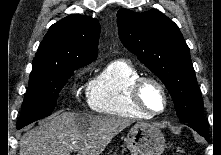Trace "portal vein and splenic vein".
<instances>
[{
  "label": "portal vein and splenic vein",
  "mask_w": 221,
  "mask_h": 155,
  "mask_svg": "<svg viewBox=\"0 0 221 155\" xmlns=\"http://www.w3.org/2000/svg\"><path fill=\"white\" fill-rule=\"evenodd\" d=\"M78 148H79V147H78V146H76V147H74V150H78Z\"/></svg>",
  "instance_id": "obj_1"
}]
</instances>
